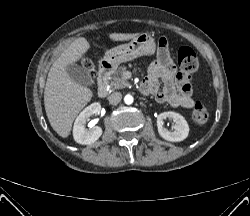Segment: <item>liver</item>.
I'll return each mask as SVG.
<instances>
[{"label":"liver","mask_w":250,"mask_h":216,"mask_svg":"<svg viewBox=\"0 0 250 216\" xmlns=\"http://www.w3.org/2000/svg\"><path fill=\"white\" fill-rule=\"evenodd\" d=\"M139 35L112 33L108 37L112 41H128ZM89 49L87 39L77 38L53 63L48 73L44 91L45 111L52 128L63 138L69 136L75 117L93 96L92 90L76 83L67 72V67L79 61Z\"/></svg>","instance_id":"6515ba94"}]
</instances>
